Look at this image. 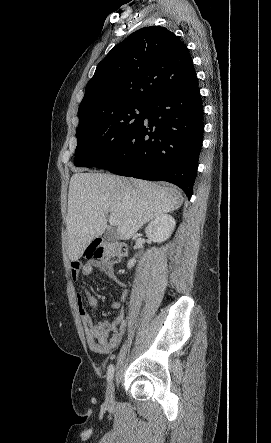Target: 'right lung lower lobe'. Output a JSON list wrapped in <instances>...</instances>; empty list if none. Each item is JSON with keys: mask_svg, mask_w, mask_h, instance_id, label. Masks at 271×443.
Listing matches in <instances>:
<instances>
[{"mask_svg": "<svg viewBox=\"0 0 271 443\" xmlns=\"http://www.w3.org/2000/svg\"><path fill=\"white\" fill-rule=\"evenodd\" d=\"M203 105L198 81L157 95L143 121L98 168L121 176L168 181L188 196L202 146Z\"/></svg>", "mask_w": 271, "mask_h": 443, "instance_id": "right-lung-lower-lobe-1", "label": "right lung lower lobe"}]
</instances>
